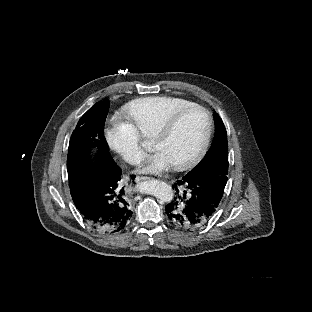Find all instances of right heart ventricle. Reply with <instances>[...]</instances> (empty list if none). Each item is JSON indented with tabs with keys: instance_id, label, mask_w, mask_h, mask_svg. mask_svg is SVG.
I'll list each match as a JSON object with an SVG mask.
<instances>
[{
	"instance_id": "obj_1",
	"label": "right heart ventricle",
	"mask_w": 312,
	"mask_h": 312,
	"mask_svg": "<svg viewBox=\"0 0 312 312\" xmlns=\"http://www.w3.org/2000/svg\"><path fill=\"white\" fill-rule=\"evenodd\" d=\"M191 105L185 94H148L130 98L126 103L132 113L130 125L135 134L144 139L155 137L167 125V120L186 111Z\"/></svg>"
}]
</instances>
